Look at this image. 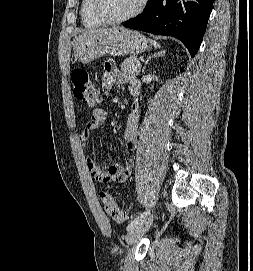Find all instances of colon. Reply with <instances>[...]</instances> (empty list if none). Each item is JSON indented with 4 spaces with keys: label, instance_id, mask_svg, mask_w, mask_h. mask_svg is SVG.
Segmentation results:
<instances>
[{
    "label": "colon",
    "instance_id": "1",
    "mask_svg": "<svg viewBox=\"0 0 253 271\" xmlns=\"http://www.w3.org/2000/svg\"><path fill=\"white\" fill-rule=\"evenodd\" d=\"M71 82L76 98L92 107L100 103L101 95L85 70L75 68L71 73ZM101 200L104 211L115 222L123 223L128 219V214L118 207L110 194L102 192Z\"/></svg>",
    "mask_w": 253,
    "mask_h": 271
}]
</instances>
